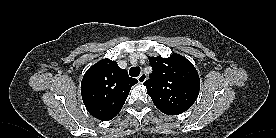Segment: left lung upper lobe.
<instances>
[{"instance_id": "left-lung-upper-lobe-1", "label": "left lung upper lobe", "mask_w": 276, "mask_h": 138, "mask_svg": "<svg viewBox=\"0 0 276 138\" xmlns=\"http://www.w3.org/2000/svg\"><path fill=\"white\" fill-rule=\"evenodd\" d=\"M148 58L153 72L144 85L155 106L168 115L188 110L200 89L199 75L192 63L177 53L168 58Z\"/></svg>"}]
</instances>
